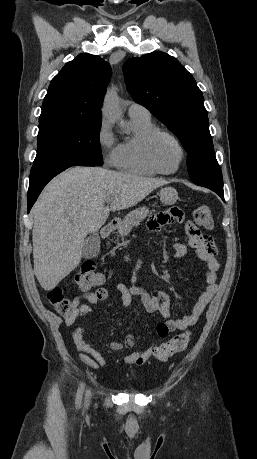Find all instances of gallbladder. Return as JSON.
Listing matches in <instances>:
<instances>
[{
    "mask_svg": "<svg viewBox=\"0 0 257 459\" xmlns=\"http://www.w3.org/2000/svg\"><path fill=\"white\" fill-rule=\"evenodd\" d=\"M100 252V237L98 233L91 234L84 242L82 256L86 259L96 257Z\"/></svg>",
    "mask_w": 257,
    "mask_h": 459,
    "instance_id": "1",
    "label": "gallbladder"
}]
</instances>
